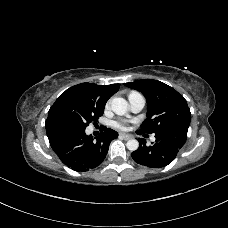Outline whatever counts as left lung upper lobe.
Returning <instances> with one entry per match:
<instances>
[{"mask_svg":"<svg viewBox=\"0 0 228 228\" xmlns=\"http://www.w3.org/2000/svg\"><path fill=\"white\" fill-rule=\"evenodd\" d=\"M146 97L147 118L140 133H158L171 127H189L190 109L184 97L175 89L157 80L143 79L124 83Z\"/></svg>","mask_w":228,"mask_h":228,"instance_id":"obj_1","label":"left lung upper lobe"}]
</instances>
